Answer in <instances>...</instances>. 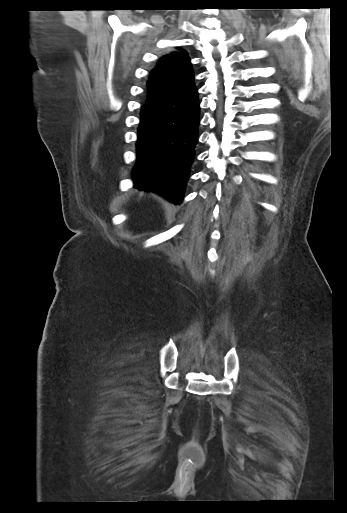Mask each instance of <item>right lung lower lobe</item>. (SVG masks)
Listing matches in <instances>:
<instances>
[{
  "label": "right lung lower lobe",
  "instance_id": "obj_1",
  "mask_svg": "<svg viewBox=\"0 0 347 513\" xmlns=\"http://www.w3.org/2000/svg\"><path fill=\"white\" fill-rule=\"evenodd\" d=\"M198 125V92L193 83L169 96L148 98L138 129L135 187L178 204L194 159Z\"/></svg>",
  "mask_w": 347,
  "mask_h": 513
}]
</instances>
